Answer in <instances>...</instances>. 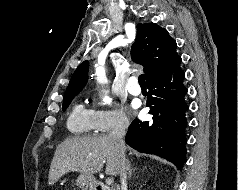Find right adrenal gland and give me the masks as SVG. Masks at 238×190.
Instances as JSON below:
<instances>
[{
	"label": "right adrenal gland",
	"instance_id": "1",
	"mask_svg": "<svg viewBox=\"0 0 238 190\" xmlns=\"http://www.w3.org/2000/svg\"><path fill=\"white\" fill-rule=\"evenodd\" d=\"M135 170H136V169H133V168L131 167L130 162L128 161V162H127L128 178H130V177L132 176V173H133Z\"/></svg>",
	"mask_w": 238,
	"mask_h": 190
}]
</instances>
